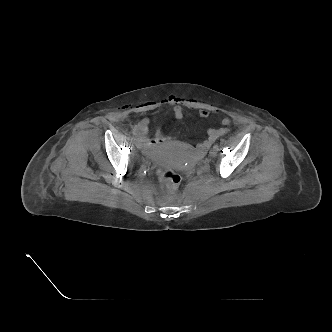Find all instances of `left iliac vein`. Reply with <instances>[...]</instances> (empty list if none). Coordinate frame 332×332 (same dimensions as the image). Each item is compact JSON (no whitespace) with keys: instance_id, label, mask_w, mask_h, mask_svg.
Returning a JSON list of instances; mask_svg holds the SVG:
<instances>
[{"instance_id":"left-iliac-vein-1","label":"left iliac vein","mask_w":332,"mask_h":332,"mask_svg":"<svg viewBox=\"0 0 332 332\" xmlns=\"http://www.w3.org/2000/svg\"><path fill=\"white\" fill-rule=\"evenodd\" d=\"M216 154H217V150L216 149L213 148V149L210 150V156L215 157Z\"/></svg>"}]
</instances>
